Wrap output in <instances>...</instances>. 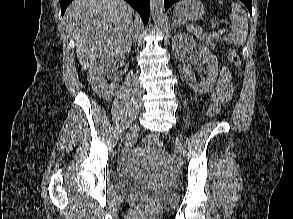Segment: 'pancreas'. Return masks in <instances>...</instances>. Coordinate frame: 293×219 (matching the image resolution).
Here are the masks:
<instances>
[{
  "mask_svg": "<svg viewBox=\"0 0 293 219\" xmlns=\"http://www.w3.org/2000/svg\"><path fill=\"white\" fill-rule=\"evenodd\" d=\"M191 30H192V32H194V34L196 36L199 37L201 35V31L200 30H198L196 28H191ZM217 36H218L217 34L209 35V36L204 35L203 38L206 39V41H207L208 44L214 45V43H212V40L213 39H216Z\"/></svg>",
  "mask_w": 293,
  "mask_h": 219,
  "instance_id": "pancreas-1",
  "label": "pancreas"
}]
</instances>
